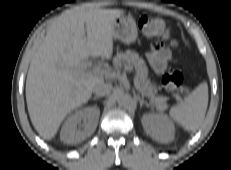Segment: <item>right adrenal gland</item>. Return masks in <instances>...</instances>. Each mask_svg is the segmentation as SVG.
<instances>
[{"instance_id": "obj_1", "label": "right adrenal gland", "mask_w": 231, "mask_h": 170, "mask_svg": "<svg viewBox=\"0 0 231 170\" xmlns=\"http://www.w3.org/2000/svg\"><path fill=\"white\" fill-rule=\"evenodd\" d=\"M98 99H100L99 96H94V97H93V100H98Z\"/></svg>"}]
</instances>
